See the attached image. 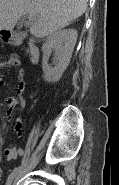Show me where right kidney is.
<instances>
[{"label": "right kidney", "instance_id": "1", "mask_svg": "<svg viewBox=\"0 0 119 185\" xmlns=\"http://www.w3.org/2000/svg\"><path fill=\"white\" fill-rule=\"evenodd\" d=\"M77 31L74 29H64L51 34L42 46L44 53L42 68L44 80L47 82H57L69 65L72 52L77 40ZM55 51L53 66L48 64L49 57Z\"/></svg>", "mask_w": 119, "mask_h": 185}]
</instances>
